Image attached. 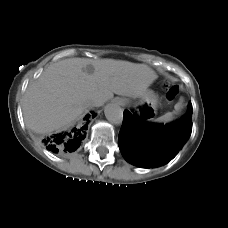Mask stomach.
I'll use <instances>...</instances> for the list:
<instances>
[{
    "label": "stomach",
    "mask_w": 228,
    "mask_h": 228,
    "mask_svg": "<svg viewBox=\"0 0 228 228\" xmlns=\"http://www.w3.org/2000/svg\"><path fill=\"white\" fill-rule=\"evenodd\" d=\"M122 102L123 104L128 103L126 100H123ZM138 104L140 107L139 110L143 112L147 118L152 119L157 111L158 98L153 91L147 90Z\"/></svg>",
    "instance_id": "stomach-1"
}]
</instances>
